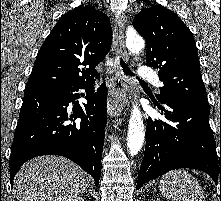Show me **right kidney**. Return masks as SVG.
<instances>
[{"instance_id": "right-kidney-1", "label": "right kidney", "mask_w": 221, "mask_h": 201, "mask_svg": "<svg viewBox=\"0 0 221 201\" xmlns=\"http://www.w3.org/2000/svg\"><path fill=\"white\" fill-rule=\"evenodd\" d=\"M66 201H84L82 197H74V198H69Z\"/></svg>"}]
</instances>
